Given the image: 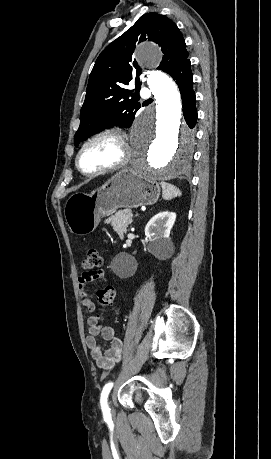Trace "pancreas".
Segmentation results:
<instances>
[{
  "label": "pancreas",
  "instance_id": "obj_1",
  "mask_svg": "<svg viewBox=\"0 0 271 459\" xmlns=\"http://www.w3.org/2000/svg\"><path fill=\"white\" fill-rule=\"evenodd\" d=\"M129 212H131V210H119V212H116V214L110 218L114 231H116L120 237H124L128 224L132 222V217L126 216Z\"/></svg>",
  "mask_w": 271,
  "mask_h": 459
}]
</instances>
